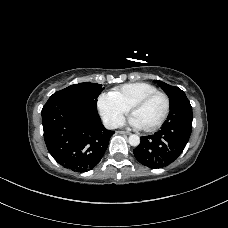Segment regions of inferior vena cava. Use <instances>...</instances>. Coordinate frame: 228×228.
<instances>
[{
	"label": "inferior vena cava",
	"instance_id": "1",
	"mask_svg": "<svg viewBox=\"0 0 228 228\" xmlns=\"http://www.w3.org/2000/svg\"><path fill=\"white\" fill-rule=\"evenodd\" d=\"M103 125L106 129H115L118 127V124L110 118H104Z\"/></svg>",
	"mask_w": 228,
	"mask_h": 228
}]
</instances>
